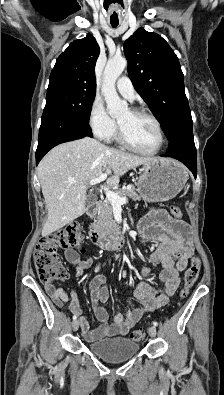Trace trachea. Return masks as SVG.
<instances>
[{"mask_svg": "<svg viewBox=\"0 0 224 395\" xmlns=\"http://www.w3.org/2000/svg\"><path fill=\"white\" fill-rule=\"evenodd\" d=\"M112 27H117L118 26V22H111Z\"/></svg>", "mask_w": 224, "mask_h": 395, "instance_id": "trachea-1", "label": "trachea"}]
</instances>
